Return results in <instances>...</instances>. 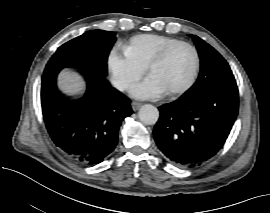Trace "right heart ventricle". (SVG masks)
Wrapping results in <instances>:
<instances>
[{"label":"right heart ventricle","mask_w":270,"mask_h":213,"mask_svg":"<svg viewBox=\"0 0 270 213\" xmlns=\"http://www.w3.org/2000/svg\"><path fill=\"white\" fill-rule=\"evenodd\" d=\"M179 41L177 38L156 34L139 35L125 47V52L132 61L147 67L160 52Z\"/></svg>","instance_id":"e07e8e85"}]
</instances>
